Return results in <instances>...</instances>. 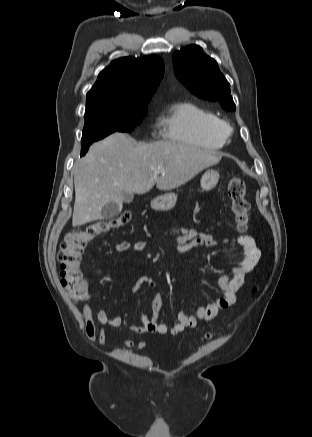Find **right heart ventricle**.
<instances>
[{
	"mask_svg": "<svg viewBox=\"0 0 312 437\" xmlns=\"http://www.w3.org/2000/svg\"><path fill=\"white\" fill-rule=\"evenodd\" d=\"M217 114L192 102L173 105L159 121L165 139L205 149H220L227 135L220 129Z\"/></svg>",
	"mask_w": 312,
	"mask_h": 437,
	"instance_id": "obj_1",
	"label": "right heart ventricle"
}]
</instances>
